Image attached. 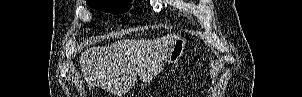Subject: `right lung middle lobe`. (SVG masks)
<instances>
[{"label": "right lung middle lobe", "mask_w": 302, "mask_h": 97, "mask_svg": "<svg viewBox=\"0 0 302 97\" xmlns=\"http://www.w3.org/2000/svg\"><path fill=\"white\" fill-rule=\"evenodd\" d=\"M87 4L96 9L112 14L126 12L131 6V0H86Z\"/></svg>", "instance_id": "dd1d6c3e"}]
</instances>
